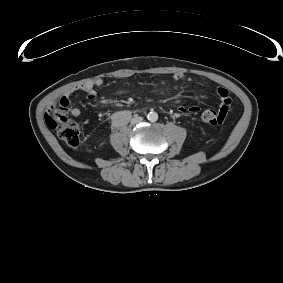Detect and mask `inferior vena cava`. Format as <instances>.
Listing matches in <instances>:
<instances>
[{
	"label": "inferior vena cava",
	"mask_w": 283,
	"mask_h": 283,
	"mask_svg": "<svg viewBox=\"0 0 283 283\" xmlns=\"http://www.w3.org/2000/svg\"><path fill=\"white\" fill-rule=\"evenodd\" d=\"M142 120H143L142 117H134V118L131 119V123L137 124V123L141 122Z\"/></svg>",
	"instance_id": "inferior-vena-cava-1"
}]
</instances>
